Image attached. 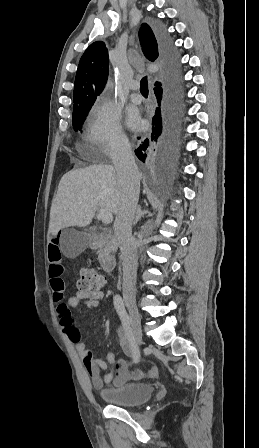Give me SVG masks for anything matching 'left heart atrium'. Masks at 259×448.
Here are the masks:
<instances>
[{"mask_svg":"<svg viewBox=\"0 0 259 448\" xmlns=\"http://www.w3.org/2000/svg\"><path fill=\"white\" fill-rule=\"evenodd\" d=\"M126 123L131 128H138L141 126L138 114L134 111H129L126 116Z\"/></svg>","mask_w":259,"mask_h":448,"instance_id":"left-heart-atrium-1","label":"left heart atrium"}]
</instances>
